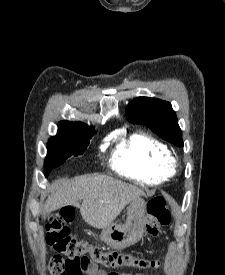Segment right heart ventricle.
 <instances>
[{
  "mask_svg": "<svg viewBox=\"0 0 225 275\" xmlns=\"http://www.w3.org/2000/svg\"><path fill=\"white\" fill-rule=\"evenodd\" d=\"M172 155L160 140L142 131L119 139L110 163L119 175L144 185H156L173 177Z\"/></svg>",
  "mask_w": 225,
  "mask_h": 275,
  "instance_id": "e07e8e85",
  "label": "right heart ventricle"
}]
</instances>
